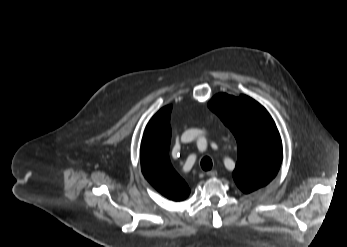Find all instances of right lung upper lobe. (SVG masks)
I'll return each instance as SVG.
<instances>
[{"instance_id":"obj_1","label":"right lung upper lobe","mask_w":347,"mask_h":247,"mask_svg":"<svg viewBox=\"0 0 347 247\" xmlns=\"http://www.w3.org/2000/svg\"><path fill=\"white\" fill-rule=\"evenodd\" d=\"M172 106L160 109L149 121L141 144V169L144 177L161 194L182 201L190 193L185 181L173 169L169 159Z\"/></svg>"}]
</instances>
